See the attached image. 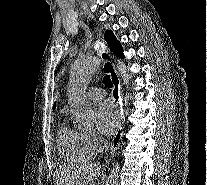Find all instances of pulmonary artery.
I'll list each match as a JSON object with an SVG mask.
<instances>
[{
	"instance_id": "e3ab8cb5",
	"label": "pulmonary artery",
	"mask_w": 207,
	"mask_h": 185,
	"mask_svg": "<svg viewBox=\"0 0 207 185\" xmlns=\"http://www.w3.org/2000/svg\"><path fill=\"white\" fill-rule=\"evenodd\" d=\"M87 96L91 100H99L105 96V91L101 88H91L89 89Z\"/></svg>"
}]
</instances>
